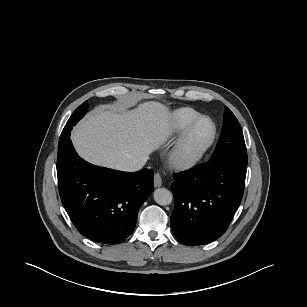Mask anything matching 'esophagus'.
Returning a JSON list of instances; mask_svg holds the SVG:
<instances>
[{"instance_id":"34e87169","label":"esophagus","mask_w":307,"mask_h":307,"mask_svg":"<svg viewBox=\"0 0 307 307\" xmlns=\"http://www.w3.org/2000/svg\"><path fill=\"white\" fill-rule=\"evenodd\" d=\"M161 185H162L161 175L159 173H156L154 175V186L157 188L160 187Z\"/></svg>"}]
</instances>
